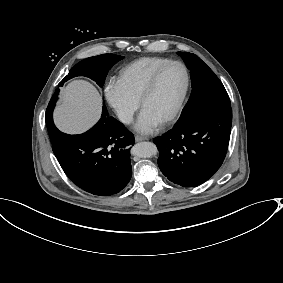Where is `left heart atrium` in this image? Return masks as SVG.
Returning <instances> with one entry per match:
<instances>
[{
  "instance_id": "1",
  "label": "left heart atrium",
  "mask_w": 283,
  "mask_h": 283,
  "mask_svg": "<svg viewBox=\"0 0 283 283\" xmlns=\"http://www.w3.org/2000/svg\"><path fill=\"white\" fill-rule=\"evenodd\" d=\"M159 124L160 120L157 117L148 110L142 109L135 124V128L139 132L150 133L155 131Z\"/></svg>"
}]
</instances>
